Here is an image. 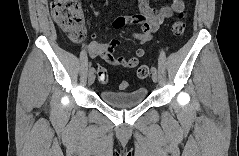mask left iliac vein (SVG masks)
Returning <instances> with one entry per match:
<instances>
[{"label":"left iliac vein","instance_id":"4c4485c4","mask_svg":"<svg viewBox=\"0 0 239 156\" xmlns=\"http://www.w3.org/2000/svg\"><path fill=\"white\" fill-rule=\"evenodd\" d=\"M152 80H153V82H157L158 81V74H157V72H152Z\"/></svg>","mask_w":239,"mask_h":156}]
</instances>
